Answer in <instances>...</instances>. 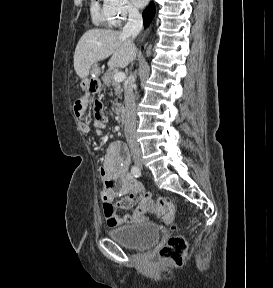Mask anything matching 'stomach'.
<instances>
[{"mask_svg":"<svg viewBox=\"0 0 273 288\" xmlns=\"http://www.w3.org/2000/svg\"><path fill=\"white\" fill-rule=\"evenodd\" d=\"M99 73L100 67L97 64L93 65L91 69V74L93 75V78L84 81L86 88L93 94L99 93L101 91V83L98 79Z\"/></svg>","mask_w":273,"mask_h":288,"instance_id":"stomach-1","label":"stomach"}]
</instances>
